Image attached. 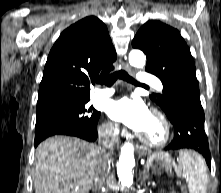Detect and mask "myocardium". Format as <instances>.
Masks as SVG:
<instances>
[{
    "label": "myocardium",
    "mask_w": 221,
    "mask_h": 193,
    "mask_svg": "<svg viewBox=\"0 0 221 193\" xmlns=\"http://www.w3.org/2000/svg\"><path fill=\"white\" fill-rule=\"evenodd\" d=\"M150 113L156 116L158 120L160 121V123L162 124L163 137L158 141H152L151 139H149L148 137H146L144 134L140 132H138V136L146 145L150 147H155V148L164 147L169 142L170 137H171V129H170L169 122L167 118L165 117V115L156 108H152Z\"/></svg>",
    "instance_id": "f54148a6"
}]
</instances>
